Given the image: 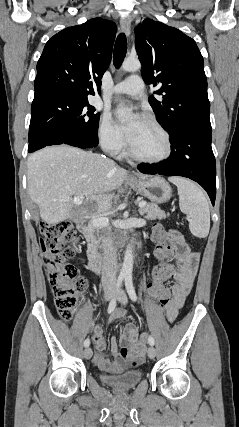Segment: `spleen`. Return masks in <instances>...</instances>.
<instances>
[{
	"label": "spleen",
	"instance_id": "1",
	"mask_svg": "<svg viewBox=\"0 0 239 427\" xmlns=\"http://www.w3.org/2000/svg\"><path fill=\"white\" fill-rule=\"evenodd\" d=\"M177 186L180 210L189 218V229L198 238H205L210 229V210L205 193L192 181L170 177Z\"/></svg>",
	"mask_w": 239,
	"mask_h": 427
}]
</instances>
